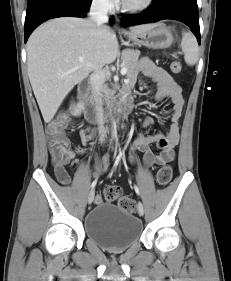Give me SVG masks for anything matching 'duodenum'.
<instances>
[{
	"instance_id": "duodenum-1",
	"label": "duodenum",
	"mask_w": 231,
	"mask_h": 281,
	"mask_svg": "<svg viewBox=\"0 0 231 281\" xmlns=\"http://www.w3.org/2000/svg\"><path fill=\"white\" fill-rule=\"evenodd\" d=\"M78 99L86 108V118L90 123H100L102 115L98 109L92 107L89 100V84L84 81L78 86ZM131 108V100L125 98L111 109L112 116L118 117L119 115L127 112Z\"/></svg>"
}]
</instances>
